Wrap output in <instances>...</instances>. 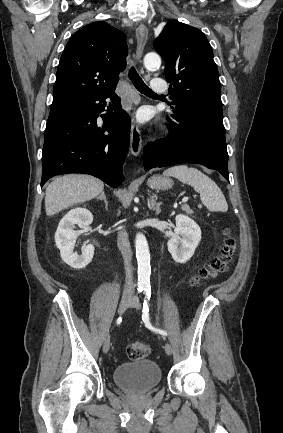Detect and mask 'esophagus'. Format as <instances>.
Returning <instances> with one entry per match:
<instances>
[{
    "label": "esophagus",
    "mask_w": 283,
    "mask_h": 433,
    "mask_svg": "<svg viewBox=\"0 0 283 433\" xmlns=\"http://www.w3.org/2000/svg\"><path fill=\"white\" fill-rule=\"evenodd\" d=\"M147 37H148L147 27H145V25L143 24H140L136 29V40H137L136 61L137 62L140 61V59L142 58ZM141 148H142L141 132L138 124L133 119L132 127H131V136H130V150L132 155L137 156L140 153Z\"/></svg>",
    "instance_id": "obj_1"
}]
</instances>
